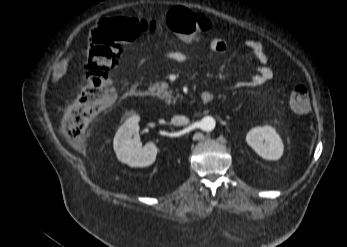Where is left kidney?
Wrapping results in <instances>:
<instances>
[{
    "mask_svg": "<svg viewBox=\"0 0 347 247\" xmlns=\"http://www.w3.org/2000/svg\"><path fill=\"white\" fill-rule=\"evenodd\" d=\"M246 142L259 156L266 160H278L284 151L281 137L269 125L252 128L246 135Z\"/></svg>",
    "mask_w": 347,
    "mask_h": 247,
    "instance_id": "left-kidney-1",
    "label": "left kidney"
}]
</instances>
